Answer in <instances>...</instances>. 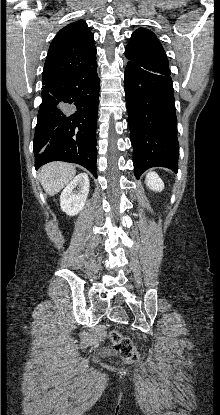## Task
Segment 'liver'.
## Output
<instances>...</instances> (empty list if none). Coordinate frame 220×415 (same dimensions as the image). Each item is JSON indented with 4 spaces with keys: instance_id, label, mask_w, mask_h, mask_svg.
Here are the masks:
<instances>
[{
    "instance_id": "1",
    "label": "liver",
    "mask_w": 220,
    "mask_h": 415,
    "mask_svg": "<svg viewBox=\"0 0 220 415\" xmlns=\"http://www.w3.org/2000/svg\"><path fill=\"white\" fill-rule=\"evenodd\" d=\"M75 174L74 165L52 162L41 167L39 177L46 192L50 196H54L74 178Z\"/></svg>"
}]
</instances>
